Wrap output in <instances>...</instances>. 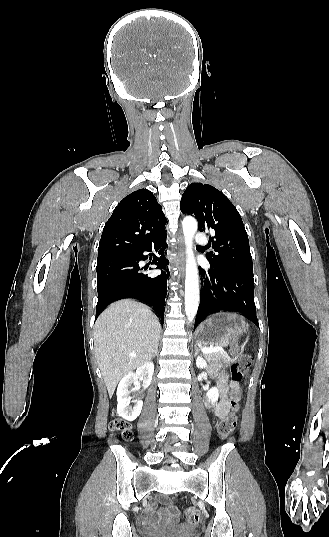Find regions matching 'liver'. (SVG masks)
<instances>
[{
	"label": "liver",
	"mask_w": 329,
	"mask_h": 537,
	"mask_svg": "<svg viewBox=\"0 0 329 537\" xmlns=\"http://www.w3.org/2000/svg\"><path fill=\"white\" fill-rule=\"evenodd\" d=\"M160 330L149 307L131 299L115 302L100 314L94 351L110 397L122 377L152 359Z\"/></svg>",
	"instance_id": "1"
}]
</instances>
